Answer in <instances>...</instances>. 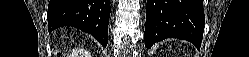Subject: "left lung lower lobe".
Segmentation results:
<instances>
[{"label":"left lung lower lobe","instance_id":"obj_1","mask_svg":"<svg viewBox=\"0 0 249 57\" xmlns=\"http://www.w3.org/2000/svg\"><path fill=\"white\" fill-rule=\"evenodd\" d=\"M204 20L203 0H147L145 46L173 37L199 49Z\"/></svg>","mask_w":249,"mask_h":57}]
</instances>
